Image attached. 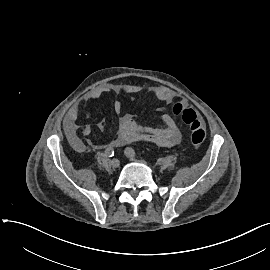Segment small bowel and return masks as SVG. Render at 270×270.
I'll list each match as a JSON object with an SVG mask.
<instances>
[{
    "instance_id": "small-bowel-1",
    "label": "small bowel",
    "mask_w": 270,
    "mask_h": 270,
    "mask_svg": "<svg viewBox=\"0 0 270 270\" xmlns=\"http://www.w3.org/2000/svg\"><path fill=\"white\" fill-rule=\"evenodd\" d=\"M140 90V87L135 85L118 86L114 84H106L99 86L89 93L83 99L74 104L68 111L65 118V130L69 137L76 138L79 134L89 136L92 132V127L89 124L80 125L78 119L82 107L95 99L109 93H114L119 96L113 102V110L116 114H121L119 119V130L116 138L111 145L115 147L125 146L135 142H150L160 147H174L181 141V130L176 121L170 115H163L160 118L159 127H148L138 124L130 113H123V99L132 93ZM150 95L159 101L166 104H171L175 98V93L167 87H155L150 89ZM99 130L105 128L104 120L97 123Z\"/></svg>"
}]
</instances>
